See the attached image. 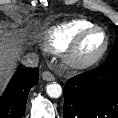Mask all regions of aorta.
<instances>
[{
  "instance_id": "762f6f07",
  "label": "aorta",
  "mask_w": 118,
  "mask_h": 118,
  "mask_svg": "<svg viewBox=\"0 0 118 118\" xmlns=\"http://www.w3.org/2000/svg\"><path fill=\"white\" fill-rule=\"evenodd\" d=\"M46 92L51 98H59L62 94V88L58 83H51L46 86Z\"/></svg>"
}]
</instances>
